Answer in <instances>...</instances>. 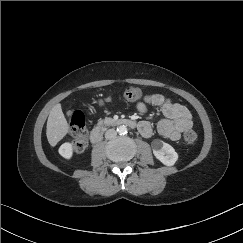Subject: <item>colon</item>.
<instances>
[{"mask_svg":"<svg viewBox=\"0 0 243 243\" xmlns=\"http://www.w3.org/2000/svg\"><path fill=\"white\" fill-rule=\"evenodd\" d=\"M124 95L130 101H138L142 96V90L137 86H129L125 89ZM69 121L71 133L75 137L73 148L78 153L84 152L88 146L85 115L80 110L72 111L69 114ZM183 138L186 144H193L198 135L194 130H188L184 133Z\"/></svg>","mask_w":243,"mask_h":243,"instance_id":"colon-1","label":"colon"}]
</instances>
